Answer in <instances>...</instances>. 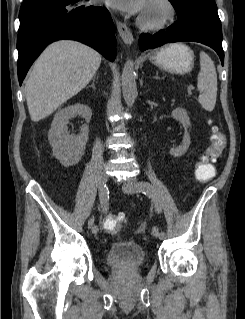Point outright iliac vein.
Returning a JSON list of instances; mask_svg holds the SVG:
<instances>
[{"mask_svg": "<svg viewBox=\"0 0 245 319\" xmlns=\"http://www.w3.org/2000/svg\"><path fill=\"white\" fill-rule=\"evenodd\" d=\"M108 174L103 172L100 174L99 178H98V190H99V197L102 196L103 192H104V187L108 181ZM88 228H92L93 230V218H90L88 221ZM93 232V231H92Z\"/></svg>", "mask_w": 245, "mask_h": 319, "instance_id": "63e3f726", "label": "right iliac vein"}]
</instances>
